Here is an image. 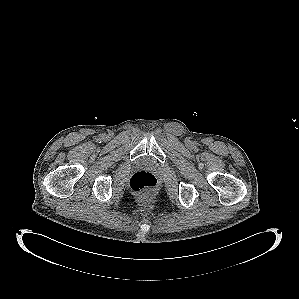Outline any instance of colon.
<instances>
[{
	"instance_id": "colon-1",
	"label": "colon",
	"mask_w": 299,
	"mask_h": 299,
	"mask_svg": "<svg viewBox=\"0 0 299 299\" xmlns=\"http://www.w3.org/2000/svg\"><path fill=\"white\" fill-rule=\"evenodd\" d=\"M157 183V178L153 173L138 171L131 176L129 186L133 193L145 197L156 189Z\"/></svg>"
}]
</instances>
